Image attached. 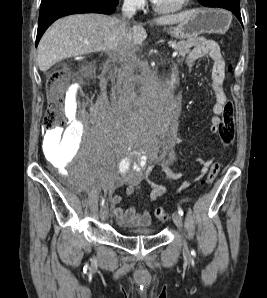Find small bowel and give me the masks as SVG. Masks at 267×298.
I'll list each match as a JSON object with an SVG mask.
<instances>
[{"label": "small bowel", "mask_w": 267, "mask_h": 298, "mask_svg": "<svg viewBox=\"0 0 267 298\" xmlns=\"http://www.w3.org/2000/svg\"><path fill=\"white\" fill-rule=\"evenodd\" d=\"M205 58H209L212 62L210 87L212 96L215 100L212 107L213 116L211 117L210 130L211 132L218 134L221 124V116L225 108L230 105V102L228 101L223 90L225 62L222 57L220 47L216 42L203 41L195 46L187 57V66L192 67L197 61ZM63 134L64 131H58L56 132L54 138L60 137ZM197 162L201 166V168L200 174L195 180L204 176L207 173L208 167L210 165V160L208 159L199 158L197 159ZM162 168L165 171H168L166 166L163 165ZM152 169L153 166L148 167L145 171L144 176L139 173L130 176H120L109 180L104 185V190L108 194L109 201L113 206V214L122 227L146 229L151 225L152 216L147 209L138 211L134 206L123 209L121 207H118L117 205L123 200L124 197L131 196L133 193L140 190V183L143 179L146 181L150 188V191L146 194V198L148 201L153 202L158 198L164 196L168 192L165 186L157 184L150 179L149 175ZM189 184L190 181H185L178 191L187 188ZM121 185H127L124 194H114L115 189Z\"/></svg>", "instance_id": "obj_1"}]
</instances>
